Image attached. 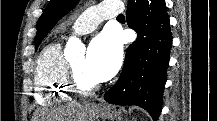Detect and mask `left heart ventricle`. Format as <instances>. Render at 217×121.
Instances as JSON below:
<instances>
[{
	"instance_id": "1",
	"label": "left heart ventricle",
	"mask_w": 217,
	"mask_h": 121,
	"mask_svg": "<svg viewBox=\"0 0 217 121\" xmlns=\"http://www.w3.org/2000/svg\"><path fill=\"white\" fill-rule=\"evenodd\" d=\"M72 66L74 67L76 73L78 74L79 78L86 84H93L96 81L89 75L86 69V58L85 56H81L76 60L71 62Z\"/></svg>"
}]
</instances>
